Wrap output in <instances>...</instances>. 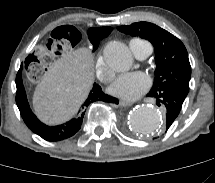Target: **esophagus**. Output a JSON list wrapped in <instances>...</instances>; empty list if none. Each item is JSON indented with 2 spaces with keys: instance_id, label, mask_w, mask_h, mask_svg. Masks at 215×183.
<instances>
[{
  "instance_id": "1",
  "label": "esophagus",
  "mask_w": 215,
  "mask_h": 183,
  "mask_svg": "<svg viewBox=\"0 0 215 183\" xmlns=\"http://www.w3.org/2000/svg\"><path fill=\"white\" fill-rule=\"evenodd\" d=\"M119 105L121 107H129V106L133 105V102H128V101L120 100L119 101Z\"/></svg>"
}]
</instances>
